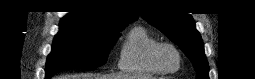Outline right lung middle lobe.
Returning a JSON list of instances; mask_svg holds the SVG:
<instances>
[{"label": "right lung middle lobe", "instance_id": "1", "mask_svg": "<svg viewBox=\"0 0 255 79\" xmlns=\"http://www.w3.org/2000/svg\"><path fill=\"white\" fill-rule=\"evenodd\" d=\"M120 29L119 31H121ZM119 31L103 33L60 28L46 62V78L70 68H97L107 61Z\"/></svg>", "mask_w": 255, "mask_h": 79}]
</instances>
